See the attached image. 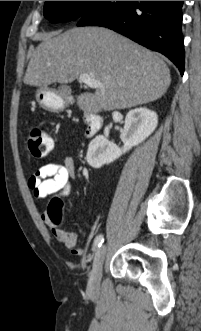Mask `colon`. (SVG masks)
Segmentation results:
<instances>
[{"label":"colon","mask_w":201,"mask_h":331,"mask_svg":"<svg viewBox=\"0 0 201 331\" xmlns=\"http://www.w3.org/2000/svg\"><path fill=\"white\" fill-rule=\"evenodd\" d=\"M27 145L31 154L38 159L46 157L53 147L51 136L44 130L34 128L27 137ZM60 204L59 200L51 202V207L56 208Z\"/></svg>","instance_id":"5ec220e1"}]
</instances>
